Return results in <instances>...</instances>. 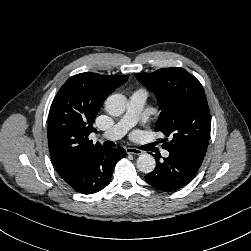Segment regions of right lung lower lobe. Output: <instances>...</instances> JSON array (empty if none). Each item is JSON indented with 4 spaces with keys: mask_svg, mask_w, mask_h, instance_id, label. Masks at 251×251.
I'll list each match as a JSON object with an SVG mask.
<instances>
[{
    "mask_svg": "<svg viewBox=\"0 0 251 251\" xmlns=\"http://www.w3.org/2000/svg\"><path fill=\"white\" fill-rule=\"evenodd\" d=\"M125 155L122 147L90 150L63 180L82 194L96 193L110 183L116 163Z\"/></svg>",
    "mask_w": 251,
    "mask_h": 251,
    "instance_id": "98d812e1",
    "label": "right lung lower lobe"
}]
</instances>
